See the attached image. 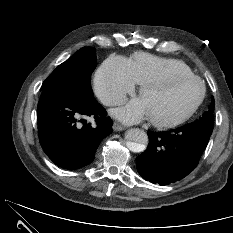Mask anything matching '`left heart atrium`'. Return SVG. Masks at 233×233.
<instances>
[{
    "label": "left heart atrium",
    "instance_id": "1",
    "mask_svg": "<svg viewBox=\"0 0 233 233\" xmlns=\"http://www.w3.org/2000/svg\"><path fill=\"white\" fill-rule=\"evenodd\" d=\"M111 115L127 124L138 123L148 117L144 104L140 98L133 99L127 105L111 110Z\"/></svg>",
    "mask_w": 233,
    "mask_h": 233
}]
</instances>
